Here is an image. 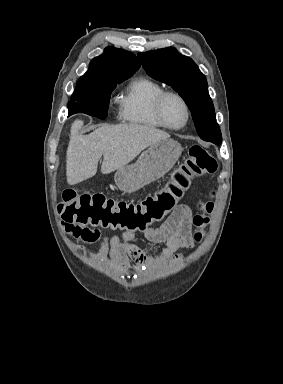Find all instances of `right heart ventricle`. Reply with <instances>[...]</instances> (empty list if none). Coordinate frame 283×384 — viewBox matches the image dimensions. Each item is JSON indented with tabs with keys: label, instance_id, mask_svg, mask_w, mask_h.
I'll return each mask as SVG.
<instances>
[{
	"label": "right heart ventricle",
	"instance_id": "obj_1",
	"mask_svg": "<svg viewBox=\"0 0 283 384\" xmlns=\"http://www.w3.org/2000/svg\"><path fill=\"white\" fill-rule=\"evenodd\" d=\"M162 92L163 87L155 81L144 76L132 77L119 97L121 120L140 129H162L152 115V105Z\"/></svg>",
	"mask_w": 283,
	"mask_h": 384
}]
</instances>
